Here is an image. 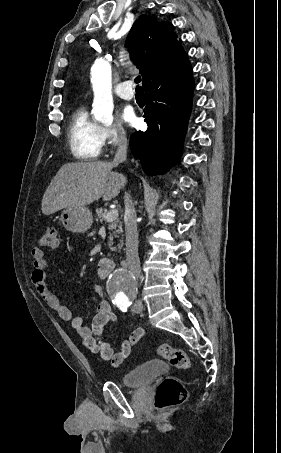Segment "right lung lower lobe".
Wrapping results in <instances>:
<instances>
[{"label":"right lung lower lobe","mask_w":281,"mask_h":453,"mask_svg":"<svg viewBox=\"0 0 281 453\" xmlns=\"http://www.w3.org/2000/svg\"><path fill=\"white\" fill-rule=\"evenodd\" d=\"M146 95L145 132L130 139L132 154L146 174L164 172L178 160L191 112L194 83L185 52L143 82Z\"/></svg>","instance_id":"98d812e1"}]
</instances>
